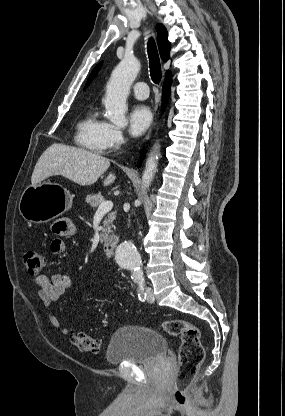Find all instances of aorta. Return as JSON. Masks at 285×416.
<instances>
[{"label":"aorta","instance_id":"aorta-1","mask_svg":"<svg viewBox=\"0 0 285 416\" xmlns=\"http://www.w3.org/2000/svg\"><path fill=\"white\" fill-rule=\"evenodd\" d=\"M140 70V62L134 56H125L112 72L106 87L104 105L107 118L116 125H124L127 111L126 100L130 86ZM159 146H155L146 161L142 176V188L151 185L158 163ZM115 258L120 267L130 270L133 275L142 276V260L132 241L121 243L115 252Z\"/></svg>","mask_w":285,"mask_h":416}]
</instances>
